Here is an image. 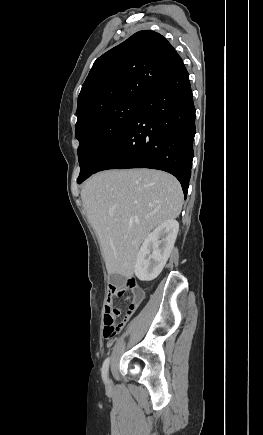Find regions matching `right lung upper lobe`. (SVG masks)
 Masks as SVG:
<instances>
[{"label": "right lung upper lobe", "mask_w": 263, "mask_h": 435, "mask_svg": "<svg viewBox=\"0 0 263 435\" xmlns=\"http://www.w3.org/2000/svg\"><path fill=\"white\" fill-rule=\"evenodd\" d=\"M183 66L161 34L150 30L135 33L94 62L78 96L75 127L106 104L123 99L144 101Z\"/></svg>", "instance_id": "obj_1"}]
</instances>
